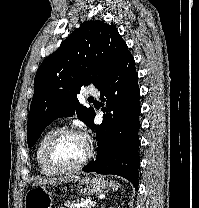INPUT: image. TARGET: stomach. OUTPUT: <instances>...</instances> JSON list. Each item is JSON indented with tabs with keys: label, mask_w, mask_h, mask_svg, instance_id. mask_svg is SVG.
Masks as SVG:
<instances>
[{
	"label": "stomach",
	"mask_w": 199,
	"mask_h": 208,
	"mask_svg": "<svg viewBox=\"0 0 199 208\" xmlns=\"http://www.w3.org/2000/svg\"><path fill=\"white\" fill-rule=\"evenodd\" d=\"M110 185L101 177L87 176L78 181L77 190L84 195H99L108 192ZM73 190V189H72ZM25 208H52L53 193L46 185L33 186L24 199Z\"/></svg>",
	"instance_id": "stomach-1"
}]
</instances>
